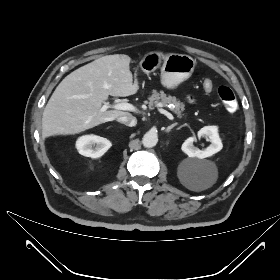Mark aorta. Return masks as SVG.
<instances>
[{
    "instance_id": "aorta-1",
    "label": "aorta",
    "mask_w": 280,
    "mask_h": 280,
    "mask_svg": "<svg viewBox=\"0 0 280 280\" xmlns=\"http://www.w3.org/2000/svg\"><path fill=\"white\" fill-rule=\"evenodd\" d=\"M158 142V135L155 132L149 131L142 138V144L146 148L154 147Z\"/></svg>"
}]
</instances>
